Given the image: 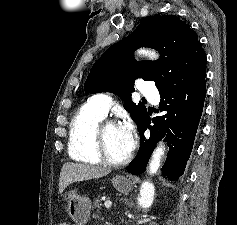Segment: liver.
Instances as JSON below:
<instances>
[{"label": "liver", "mask_w": 237, "mask_h": 225, "mask_svg": "<svg viewBox=\"0 0 237 225\" xmlns=\"http://www.w3.org/2000/svg\"><path fill=\"white\" fill-rule=\"evenodd\" d=\"M110 169L77 163H65L62 166L59 178V192L74 182L100 178L108 175Z\"/></svg>", "instance_id": "1"}]
</instances>
